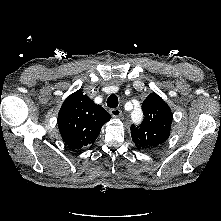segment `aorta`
<instances>
[{"instance_id": "762f6f07", "label": "aorta", "mask_w": 221, "mask_h": 221, "mask_svg": "<svg viewBox=\"0 0 221 221\" xmlns=\"http://www.w3.org/2000/svg\"><path fill=\"white\" fill-rule=\"evenodd\" d=\"M130 113H131V116H132L133 120H138L139 119L140 112L137 108H133Z\"/></svg>"}]
</instances>
